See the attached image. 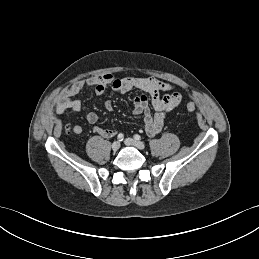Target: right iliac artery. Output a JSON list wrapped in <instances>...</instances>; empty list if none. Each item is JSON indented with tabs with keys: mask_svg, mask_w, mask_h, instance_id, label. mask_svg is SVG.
Returning <instances> with one entry per match:
<instances>
[{
	"mask_svg": "<svg viewBox=\"0 0 259 259\" xmlns=\"http://www.w3.org/2000/svg\"><path fill=\"white\" fill-rule=\"evenodd\" d=\"M118 140L119 141H123L124 139V135L122 133H120L118 136H117Z\"/></svg>",
	"mask_w": 259,
	"mask_h": 259,
	"instance_id": "right-iliac-artery-1",
	"label": "right iliac artery"
}]
</instances>
